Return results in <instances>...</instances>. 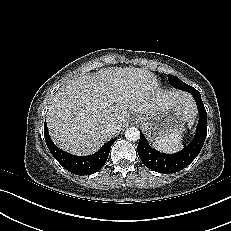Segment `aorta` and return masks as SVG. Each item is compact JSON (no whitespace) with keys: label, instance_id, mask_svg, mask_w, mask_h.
I'll list each match as a JSON object with an SVG mask.
<instances>
[{"label":"aorta","instance_id":"obj_1","mask_svg":"<svg viewBox=\"0 0 231 231\" xmlns=\"http://www.w3.org/2000/svg\"><path fill=\"white\" fill-rule=\"evenodd\" d=\"M125 137L128 141H137L140 138V132L135 127H130L125 131Z\"/></svg>","mask_w":231,"mask_h":231}]
</instances>
